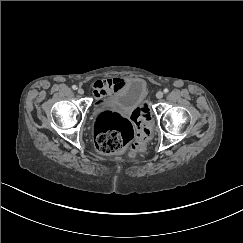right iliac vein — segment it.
Wrapping results in <instances>:
<instances>
[{
    "mask_svg": "<svg viewBox=\"0 0 243 243\" xmlns=\"http://www.w3.org/2000/svg\"><path fill=\"white\" fill-rule=\"evenodd\" d=\"M80 95L84 94V90L82 88H78V91H77Z\"/></svg>",
    "mask_w": 243,
    "mask_h": 243,
    "instance_id": "63e3f726",
    "label": "right iliac vein"
}]
</instances>
